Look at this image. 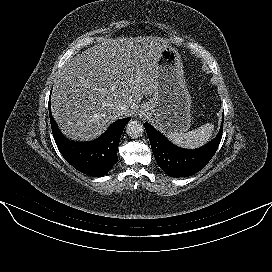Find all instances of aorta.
<instances>
[{
	"label": "aorta",
	"mask_w": 272,
	"mask_h": 272,
	"mask_svg": "<svg viewBox=\"0 0 272 272\" xmlns=\"http://www.w3.org/2000/svg\"><path fill=\"white\" fill-rule=\"evenodd\" d=\"M143 132H144L143 124L137 120L130 121L126 125V133L131 138H139L142 136Z\"/></svg>",
	"instance_id": "762f6f07"
}]
</instances>
